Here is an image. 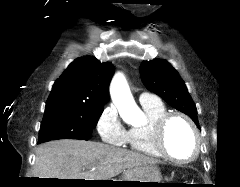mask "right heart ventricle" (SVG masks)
Here are the masks:
<instances>
[{
    "instance_id": "e07e8e85",
    "label": "right heart ventricle",
    "mask_w": 240,
    "mask_h": 187,
    "mask_svg": "<svg viewBox=\"0 0 240 187\" xmlns=\"http://www.w3.org/2000/svg\"><path fill=\"white\" fill-rule=\"evenodd\" d=\"M147 115V121L139 126H134L127 131L129 149L150 157H162L157 151L153 140L154 125L157 120L167 113V108L162 102L142 104Z\"/></svg>"
}]
</instances>
